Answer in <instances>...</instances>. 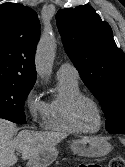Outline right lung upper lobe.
Returning <instances> with one entry per match:
<instances>
[{
  "label": "right lung upper lobe",
  "instance_id": "right-lung-upper-lobe-1",
  "mask_svg": "<svg viewBox=\"0 0 125 167\" xmlns=\"http://www.w3.org/2000/svg\"><path fill=\"white\" fill-rule=\"evenodd\" d=\"M39 36L40 22L33 9L18 3L0 5V83L33 87Z\"/></svg>",
  "mask_w": 125,
  "mask_h": 167
}]
</instances>
